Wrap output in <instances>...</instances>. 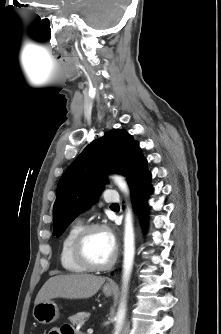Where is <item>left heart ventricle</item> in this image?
<instances>
[{"label":"left heart ventricle","mask_w":221,"mask_h":334,"mask_svg":"<svg viewBox=\"0 0 221 334\" xmlns=\"http://www.w3.org/2000/svg\"><path fill=\"white\" fill-rule=\"evenodd\" d=\"M85 250L94 263L105 264L112 258L115 244L111 241L107 231L96 230L87 238Z\"/></svg>","instance_id":"obj_1"}]
</instances>
